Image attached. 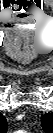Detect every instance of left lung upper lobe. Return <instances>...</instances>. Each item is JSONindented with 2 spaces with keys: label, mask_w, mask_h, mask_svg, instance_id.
<instances>
[{
  "label": "left lung upper lobe",
  "mask_w": 53,
  "mask_h": 133,
  "mask_svg": "<svg viewBox=\"0 0 53 133\" xmlns=\"http://www.w3.org/2000/svg\"><path fill=\"white\" fill-rule=\"evenodd\" d=\"M42 120V126L45 129V127H47L49 124L47 123V117L46 116H42L41 117Z\"/></svg>",
  "instance_id": "5c2ea615"
}]
</instances>
